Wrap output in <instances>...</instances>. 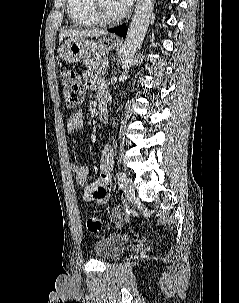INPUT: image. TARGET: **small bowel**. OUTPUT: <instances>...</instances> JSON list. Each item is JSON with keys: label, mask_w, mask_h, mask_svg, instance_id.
Segmentation results:
<instances>
[{"label": "small bowel", "mask_w": 239, "mask_h": 303, "mask_svg": "<svg viewBox=\"0 0 239 303\" xmlns=\"http://www.w3.org/2000/svg\"><path fill=\"white\" fill-rule=\"evenodd\" d=\"M85 87L90 91H97L101 100L105 98L106 88L100 77L90 72L83 74ZM84 119L81 111L71 114L66 120L68 132H74L83 128ZM114 151L111 145L106 144L102 150L100 160V178L90 185H87L89 169L87 166L73 164L71 169L75 175V181L82 188L83 200L85 202L105 203L111 196L112 176L111 170L113 166ZM122 217L121 212L114 214L115 219Z\"/></svg>", "instance_id": "1"}]
</instances>
